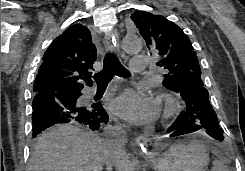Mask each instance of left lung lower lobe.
I'll use <instances>...</instances> for the list:
<instances>
[{
  "instance_id": "1",
  "label": "left lung lower lobe",
  "mask_w": 245,
  "mask_h": 171,
  "mask_svg": "<svg viewBox=\"0 0 245 171\" xmlns=\"http://www.w3.org/2000/svg\"><path fill=\"white\" fill-rule=\"evenodd\" d=\"M178 93L185 101L186 109L181 112L173 124L167 129L171 136H180L205 129L212 138L222 141L223 130L209 102L208 91L201 85H187Z\"/></svg>"
}]
</instances>
